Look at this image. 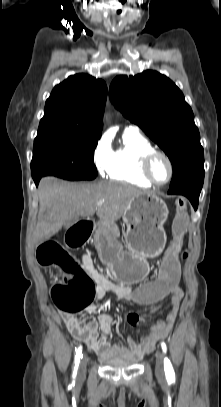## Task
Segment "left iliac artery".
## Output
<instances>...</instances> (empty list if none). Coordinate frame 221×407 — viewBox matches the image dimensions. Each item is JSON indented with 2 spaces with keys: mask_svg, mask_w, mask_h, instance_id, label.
Segmentation results:
<instances>
[{
  "mask_svg": "<svg viewBox=\"0 0 221 407\" xmlns=\"http://www.w3.org/2000/svg\"><path fill=\"white\" fill-rule=\"evenodd\" d=\"M161 348L163 350L164 353L167 352V347L166 344L164 342H161ZM164 368H165V374L168 378H172L174 377V370L173 367L170 363V360L166 357L164 359Z\"/></svg>",
  "mask_w": 221,
  "mask_h": 407,
  "instance_id": "1",
  "label": "left iliac artery"
}]
</instances>
